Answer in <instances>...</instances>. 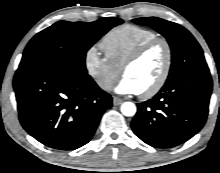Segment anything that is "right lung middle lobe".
<instances>
[{
  "mask_svg": "<svg viewBox=\"0 0 220 173\" xmlns=\"http://www.w3.org/2000/svg\"><path fill=\"white\" fill-rule=\"evenodd\" d=\"M123 20L106 17L95 22L59 21L36 34L24 50L19 67L55 66L73 75H88L86 52Z\"/></svg>",
  "mask_w": 220,
  "mask_h": 173,
  "instance_id": "right-lung-middle-lobe-1",
  "label": "right lung middle lobe"
}]
</instances>
